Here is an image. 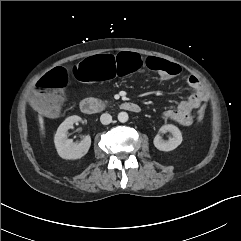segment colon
Returning a JSON list of instances; mask_svg holds the SVG:
<instances>
[{
	"instance_id": "obj_1",
	"label": "colon",
	"mask_w": 241,
	"mask_h": 241,
	"mask_svg": "<svg viewBox=\"0 0 241 241\" xmlns=\"http://www.w3.org/2000/svg\"><path fill=\"white\" fill-rule=\"evenodd\" d=\"M144 64L159 73L162 79H174L181 74L179 65L166 59L149 57L144 62L134 51H111L79 60L72 67V76L78 82L94 83L111 77L134 74ZM66 84L67 74L62 68H56L43 76L38 81L32 97L33 106L45 114L57 115L63 101L62 91ZM205 112V107L198 111L199 120L204 119Z\"/></svg>"
}]
</instances>
